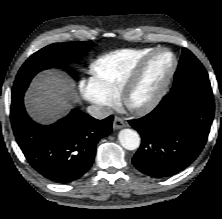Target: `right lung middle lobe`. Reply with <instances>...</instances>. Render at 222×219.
<instances>
[{"instance_id": "1", "label": "right lung middle lobe", "mask_w": 222, "mask_h": 219, "mask_svg": "<svg viewBox=\"0 0 222 219\" xmlns=\"http://www.w3.org/2000/svg\"><path fill=\"white\" fill-rule=\"evenodd\" d=\"M92 41L55 43L34 53L20 68L12 90V98L26 91L31 79L40 71L78 59L90 49Z\"/></svg>"}]
</instances>
